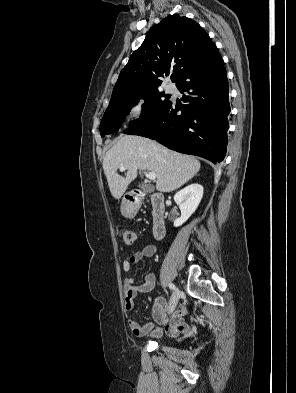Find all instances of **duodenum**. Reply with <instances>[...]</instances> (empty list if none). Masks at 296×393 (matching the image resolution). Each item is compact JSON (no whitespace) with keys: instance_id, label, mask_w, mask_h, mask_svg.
<instances>
[{"instance_id":"duodenum-1","label":"duodenum","mask_w":296,"mask_h":393,"mask_svg":"<svg viewBox=\"0 0 296 393\" xmlns=\"http://www.w3.org/2000/svg\"><path fill=\"white\" fill-rule=\"evenodd\" d=\"M144 197V193L140 190H135L129 194L127 198L128 206L136 211ZM151 201V214H152V231L157 240H162L166 234L165 226V199L162 193L155 192L150 196Z\"/></svg>"}]
</instances>
